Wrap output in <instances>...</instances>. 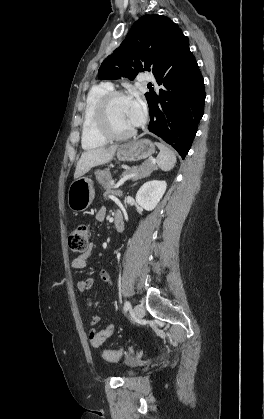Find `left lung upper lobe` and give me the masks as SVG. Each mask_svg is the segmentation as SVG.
Returning a JSON list of instances; mask_svg holds the SVG:
<instances>
[{
	"instance_id": "5c2ea615",
	"label": "left lung upper lobe",
	"mask_w": 264,
	"mask_h": 419,
	"mask_svg": "<svg viewBox=\"0 0 264 419\" xmlns=\"http://www.w3.org/2000/svg\"><path fill=\"white\" fill-rule=\"evenodd\" d=\"M181 34V29L165 16H142L121 45L102 62L99 78L133 80L142 71H152L156 76L163 66L166 48Z\"/></svg>"
}]
</instances>
